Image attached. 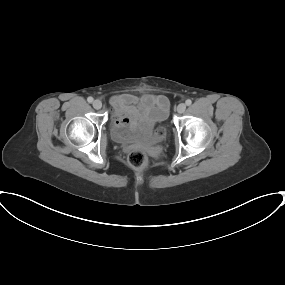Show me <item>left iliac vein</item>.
Instances as JSON below:
<instances>
[{
	"instance_id": "1",
	"label": "left iliac vein",
	"mask_w": 285,
	"mask_h": 285,
	"mask_svg": "<svg viewBox=\"0 0 285 285\" xmlns=\"http://www.w3.org/2000/svg\"><path fill=\"white\" fill-rule=\"evenodd\" d=\"M186 109V105L184 103H180L178 106H177V112L178 113H183Z\"/></svg>"
}]
</instances>
